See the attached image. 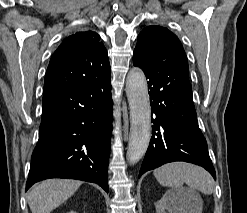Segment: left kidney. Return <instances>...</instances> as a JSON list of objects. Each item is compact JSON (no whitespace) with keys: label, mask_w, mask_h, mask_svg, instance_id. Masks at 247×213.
<instances>
[{"label":"left kidney","mask_w":247,"mask_h":213,"mask_svg":"<svg viewBox=\"0 0 247 213\" xmlns=\"http://www.w3.org/2000/svg\"><path fill=\"white\" fill-rule=\"evenodd\" d=\"M157 213H199L192 193L189 191H167L155 203Z\"/></svg>","instance_id":"obj_1"}]
</instances>
